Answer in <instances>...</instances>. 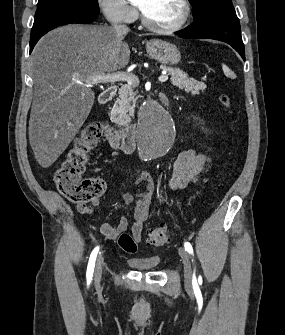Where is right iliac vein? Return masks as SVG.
Masks as SVG:
<instances>
[{
    "mask_svg": "<svg viewBox=\"0 0 285 335\" xmlns=\"http://www.w3.org/2000/svg\"><path fill=\"white\" fill-rule=\"evenodd\" d=\"M101 277H102V267H101V264L98 263L96 267V272H95V282L99 283Z\"/></svg>",
    "mask_w": 285,
    "mask_h": 335,
    "instance_id": "obj_1",
    "label": "right iliac vein"
}]
</instances>
